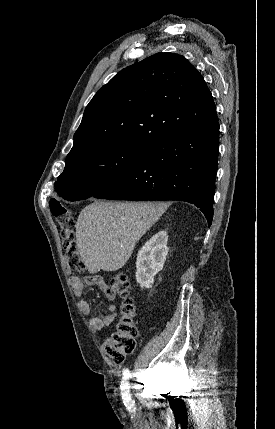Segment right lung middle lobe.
<instances>
[{
	"label": "right lung middle lobe",
	"mask_w": 275,
	"mask_h": 429,
	"mask_svg": "<svg viewBox=\"0 0 275 429\" xmlns=\"http://www.w3.org/2000/svg\"><path fill=\"white\" fill-rule=\"evenodd\" d=\"M149 149L115 144L68 162L55 182L56 191L69 201L92 197L138 167Z\"/></svg>",
	"instance_id": "1"
}]
</instances>
